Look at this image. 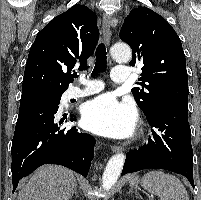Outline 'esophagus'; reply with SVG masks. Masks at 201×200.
I'll list each match as a JSON object with an SVG mask.
<instances>
[{"label":"esophagus","mask_w":201,"mask_h":200,"mask_svg":"<svg viewBox=\"0 0 201 200\" xmlns=\"http://www.w3.org/2000/svg\"><path fill=\"white\" fill-rule=\"evenodd\" d=\"M102 27H103L104 42L107 46H109L112 30H111V20L108 15L103 16ZM111 150L113 153H118L122 150V147L118 145H113L111 147Z\"/></svg>","instance_id":"obj_1"}]
</instances>
